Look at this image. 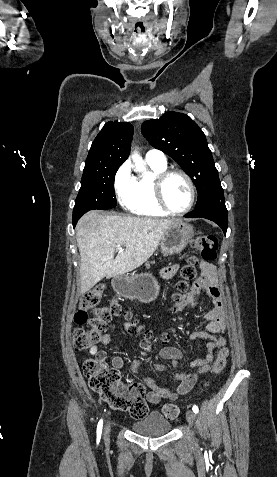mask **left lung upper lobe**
I'll return each instance as SVG.
<instances>
[{"label": "left lung upper lobe", "instance_id": "5c2ea615", "mask_svg": "<svg viewBox=\"0 0 277 477\" xmlns=\"http://www.w3.org/2000/svg\"><path fill=\"white\" fill-rule=\"evenodd\" d=\"M141 130L153 147L172 157L191 177L198 191L196 208L222 188L206 137L188 115L167 112L145 121Z\"/></svg>", "mask_w": 277, "mask_h": 477}]
</instances>
